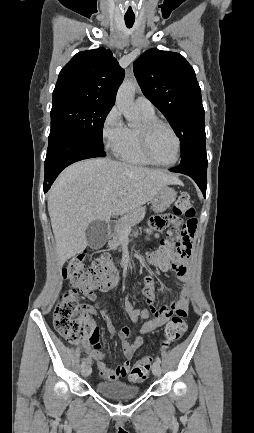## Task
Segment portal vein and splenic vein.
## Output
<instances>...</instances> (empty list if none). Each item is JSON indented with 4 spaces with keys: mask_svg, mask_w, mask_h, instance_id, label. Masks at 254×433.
I'll use <instances>...</instances> for the list:
<instances>
[{
    "mask_svg": "<svg viewBox=\"0 0 254 433\" xmlns=\"http://www.w3.org/2000/svg\"><path fill=\"white\" fill-rule=\"evenodd\" d=\"M123 195H124V192H123V191H121V192L118 193V196H119V197H121V196H123Z\"/></svg>",
    "mask_w": 254,
    "mask_h": 433,
    "instance_id": "18ae733b",
    "label": "portal vein and splenic vein"
}]
</instances>
